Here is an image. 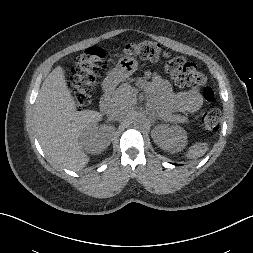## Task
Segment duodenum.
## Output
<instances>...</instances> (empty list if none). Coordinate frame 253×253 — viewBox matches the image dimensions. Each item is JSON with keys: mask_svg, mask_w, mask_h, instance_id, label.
<instances>
[{"mask_svg": "<svg viewBox=\"0 0 253 253\" xmlns=\"http://www.w3.org/2000/svg\"><path fill=\"white\" fill-rule=\"evenodd\" d=\"M113 91V83L110 79L106 80L103 84V95L101 97V108L104 111H108L112 108L113 102H112V94Z\"/></svg>", "mask_w": 253, "mask_h": 253, "instance_id": "obj_1", "label": "duodenum"}]
</instances>
